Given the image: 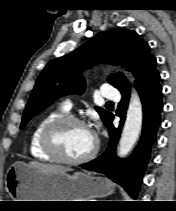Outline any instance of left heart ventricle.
<instances>
[{
    "instance_id": "b2bd125f",
    "label": "left heart ventricle",
    "mask_w": 176,
    "mask_h": 211,
    "mask_svg": "<svg viewBox=\"0 0 176 211\" xmlns=\"http://www.w3.org/2000/svg\"><path fill=\"white\" fill-rule=\"evenodd\" d=\"M95 137L89 128L71 124L64 126L59 134L62 152L70 158L86 155L93 147Z\"/></svg>"
}]
</instances>
